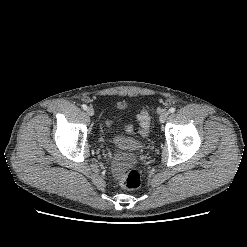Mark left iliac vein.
<instances>
[{
    "label": "left iliac vein",
    "mask_w": 247,
    "mask_h": 247,
    "mask_svg": "<svg viewBox=\"0 0 247 247\" xmlns=\"http://www.w3.org/2000/svg\"><path fill=\"white\" fill-rule=\"evenodd\" d=\"M169 116V112L168 111H165L163 113H161L160 117H159V121L161 123H164L166 121V119L168 118Z\"/></svg>",
    "instance_id": "left-iliac-vein-1"
}]
</instances>
